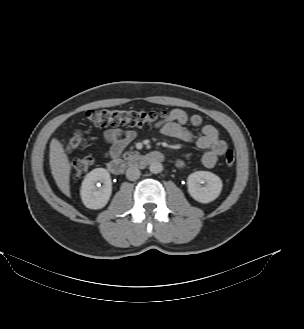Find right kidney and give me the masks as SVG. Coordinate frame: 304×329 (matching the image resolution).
Wrapping results in <instances>:
<instances>
[{"label": "right kidney", "instance_id": "ca27d5eb", "mask_svg": "<svg viewBox=\"0 0 304 329\" xmlns=\"http://www.w3.org/2000/svg\"><path fill=\"white\" fill-rule=\"evenodd\" d=\"M111 193L110 174L104 168H96L89 172L85 176L80 189L82 202L89 209L103 208L107 204Z\"/></svg>", "mask_w": 304, "mask_h": 329}]
</instances>
